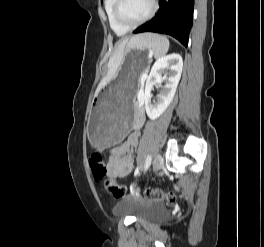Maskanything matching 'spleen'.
I'll return each instance as SVG.
<instances>
[{"instance_id": "obj_1", "label": "spleen", "mask_w": 264, "mask_h": 247, "mask_svg": "<svg viewBox=\"0 0 264 247\" xmlns=\"http://www.w3.org/2000/svg\"><path fill=\"white\" fill-rule=\"evenodd\" d=\"M140 46H144L150 50V52L159 58L165 55L169 49V40L158 34H145L144 38L139 41Z\"/></svg>"}]
</instances>
